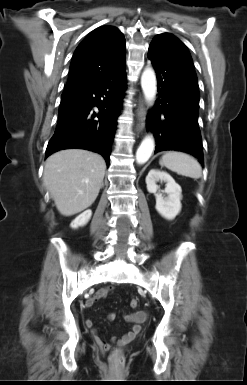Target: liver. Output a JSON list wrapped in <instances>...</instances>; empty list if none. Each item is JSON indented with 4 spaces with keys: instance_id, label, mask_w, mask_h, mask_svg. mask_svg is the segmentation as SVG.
Segmentation results:
<instances>
[{
    "instance_id": "liver-1",
    "label": "liver",
    "mask_w": 247,
    "mask_h": 385,
    "mask_svg": "<svg viewBox=\"0 0 247 385\" xmlns=\"http://www.w3.org/2000/svg\"><path fill=\"white\" fill-rule=\"evenodd\" d=\"M105 169V160L99 154L81 149L62 150L47 158L43 182L58 211L72 216L94 203Z\"/></svg>"
}]
</instances>
